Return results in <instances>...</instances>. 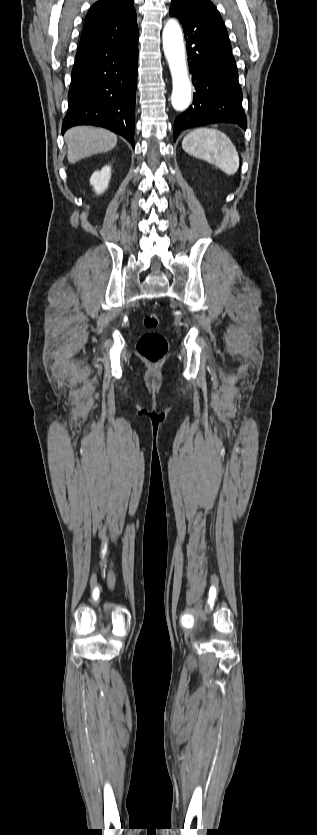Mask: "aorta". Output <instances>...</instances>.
Segmentation results:
<instances>
[{
  "mask_svg": "<svg viewBox=\"0 0 317 835\" xmlns=\"http://www.w3.org/2000/svg\"><path fill=\"white\" fill-rule=\"evenodd\" d=\"M164 55L168 61L172 77V106L176 111H184L191 104V82L185 61V46L178 22L169 19L162 34Z\"/></svg>",
  "mask_w": 317,
  "mask_h": 835,
  "instance_id": "1",
  "label": "aorta"
}]
</instances>
